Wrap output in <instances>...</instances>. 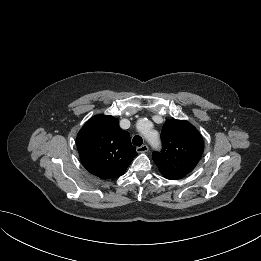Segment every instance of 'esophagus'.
Listing matches in <instances>:
<instances>
[{
  "label": "esophagus",
  "mask_w": 261,
  "mask_h": 261,
  "mask_svg": "<svg viewBox=\"0 0 261 261\" xmlns=\"http://www.w3.org/2000/svg\"><path fill=\"white\" fill-rule=\"evenodd\" d=\"M148 150H149V147L146 144H143L142 146L137 147V149H136V151L138 153H144V152H147Z\"/></svg>",
  "instance_id": "1"
}]
</instances>
